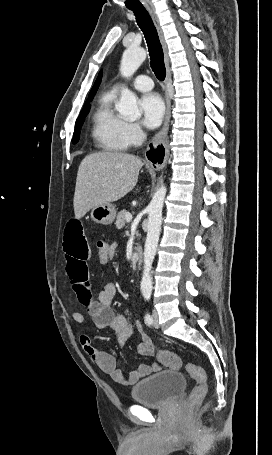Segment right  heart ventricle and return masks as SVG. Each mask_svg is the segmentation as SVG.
Instances as JSON below:
<instances>
[{"label": "right heart ventricle", "mask_w": 272, "mask_h": 455, "mask_svg": "<svg viewBox=\"0 0 272 455\" xmlns=\"http://www.w3.org/2000/svg\"><path fill=\"white\" fill-rule=\"evenodd\" d=\"M115 92H104L91 117V136L96 147L105 152L127 150L129 142L125 134V120L113 109Z\"/></svg>", "instance_id": "e07e8e85"}]
</instances>
